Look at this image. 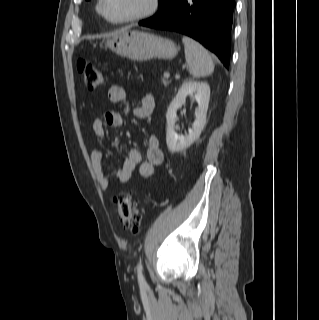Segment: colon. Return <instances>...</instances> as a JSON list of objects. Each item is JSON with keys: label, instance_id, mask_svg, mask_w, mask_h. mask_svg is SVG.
Instances as JSON below:
<instances>
[{"label": "colon", "instance_id": "1", "mask_svg": "<svg viewBox=\"0 0 319 320\" xmlns=\"http://www.w3.org/2000/svg\"><path fill=\"white\" fill-rule=\"evenodd\" d=\"M78 69L88 89H97L105 83L104 73L94 64L80 60ZM114 206L123 227L132 232L138 231L140 215L133 196L130 193L119 194L114 199Z\"/></svg>", "mask_w": 319, "mask_h": 320}]
</instances>
